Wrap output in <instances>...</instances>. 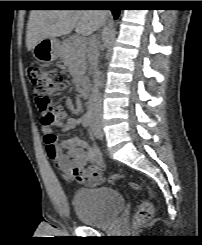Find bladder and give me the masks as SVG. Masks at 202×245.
<instances>
[{
  "instance_id": "obj_1",
  "label": "bladder",
  "mask_w": 202,
  "mask_h": 245,
  "mask_svg": "<svg viewBox=\"0 0 202 245\" xmlns=\"http://www.w3.org/2000/svg\"><path fill=\"white\" fill-rule=\"evenodd\" d=\"M123 206L121 193L109 187H81L73 198V208L79 221L95 227L109 224Z\"/></svg>"
}]
</instances>
